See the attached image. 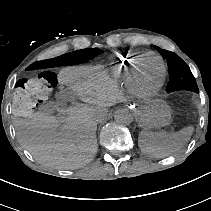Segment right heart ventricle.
Here are the masks:
<instances>
[{"mask_svg": "<svg viewBox=\"0 0 211 211\" xmlns=\"http://www.w3.org/2000/svg\"><path fill=\"white\" fill-rule=\"evenodd\" d=\"M150 56V51L143 49L115 55L109 62V73L119 82H122L125 78H127L126 84L129 87H132L131 79L128 77L135 72L139 61L148 59Z\"/></svg>", "mask_w": 211, "mask_h": 211, "instance_id": "obj_1", "label": "right heart ventricle"}]
</instances>
